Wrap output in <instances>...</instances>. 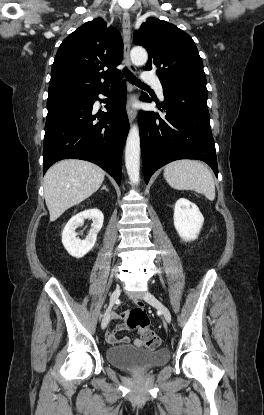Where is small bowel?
I'll return each instance as SVG.
<instances>
[{
	"instance_id": "c3829d8e",
	"label": "small bowel",
	"mask_w": 264,
	"mask_h": 415,
	"mask_svg": "<svg viewBox=\"0 0 264 415\" xmlns=\"http://www.w3.org/2000/svg\"><path fill=\"white\" fill-rule=\"evenodd\" d=\"M125 316L126 315H125L124 312H118V313H114L112 315V319L113 320H120V319H124ZM124 330H130V328L128 326H126L125 324H123V323L116 324L112 329H110L106 332V334H105L106 342L110 345L129 344L130 343V338L129 337L125 336V337L119 338L117 336L118 332L124 331ZM133 343L137 347L142 346V341L139 338L134 339Z\"/></svg>"
}]
</instances>
